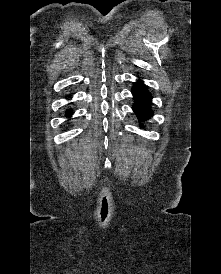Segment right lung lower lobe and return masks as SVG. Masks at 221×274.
I'll return each mask as SVG.
<instances>
[{"label": "right lung lower lobe", "mask_w": 221, "mask_h": 274, "mask_svg": "<svg viewBox=\"0 0 221 274\" xmlns=\"http://www.w3.org/2000/svg\"><path fill=\"white\" fill-rule=\"evenodd\" d=\"M71 113H72L71 110H69V111L67 112V115H68V116H71Z\"/></svg>", "instance_id": "98d812e1"}]
</instances>
